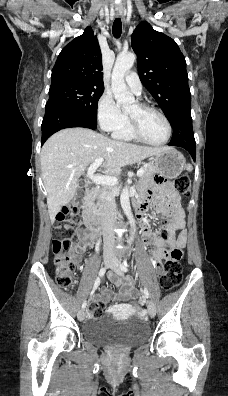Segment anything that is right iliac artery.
<instances>
[{
	"label": "right iliac artery",
	"mask_w": 228,
	"mask_h": 396,
	"mask_svg": "<svg viewBox=\"0 0 228 396\" xmlns=\"http://www.w3.org/2000/svg\"><path fill=\"white\" fill-rule=\"evenodd\" d=\"M105 272H106V268H101L100 271H99V277H103ZM99 283H100L99 280H97L95 282L94 290L98 287ZM86 305H87V302L84 301L83 304H82V308L84 309L86 307Z\"/></svg>",
	"instance_id": "obj_1"
}]
</instances>
